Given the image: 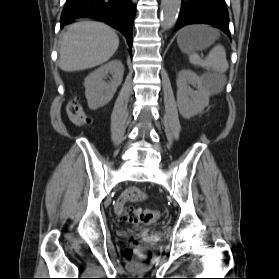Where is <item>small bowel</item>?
Here are the masks:
<instances>
[{
  "label": "small bowel",
  "mask_w": 279,
  "mask_h": 279,
  "mask_svg": "<svg viewBox=\"0 0 279 279\" xmlns=\"http://www.w3.org/2000/svg\"><path fill=\"white\" fill-rule=\"evenodd\" d=\"M145 198V194L138 188H128L125 190L115 203V211L117 214H121L124 205L127 201H141Z\"/></svg>",
  "instance_id": "c3829d8e"
}]
</instances>
